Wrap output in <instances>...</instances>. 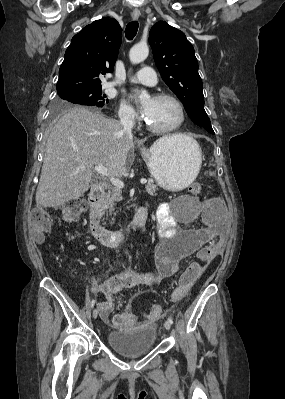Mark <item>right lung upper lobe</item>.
I'll return each instance as SVG.
<instances>
[{
	"instance_id": "cb5924a9",
	"label": "right lung upper lobe",
	"mask_w": 285,
	"mask_h": 399,
	"mask_svg": "<svg viewBox=\"0 0 285 399\" xmlns=\"http://www.w3.org/2000/svg\"><path fill=\"white\" fill-rule=\"evenodd\" d=\"M121 33L119 23L105 17L85 26L75 35L59 69L57 92L101 87L99 75L113 71Z\"/></svg>"
}]
</instances>
